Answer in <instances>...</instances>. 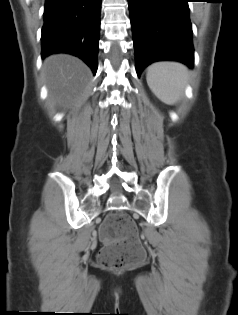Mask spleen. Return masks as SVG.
I'll use <instances>...</instances> for the list:
<instances>
[{
    "instance_id": "1",
    "label": "spleen",
    "mask_w": 238,
    "mask_h": 315,
    "mask_svg": "<svg viewBox=\"0 0 238 315\" xmlns=\"http://www.w3.org/2000/svg\"><path fill=\"white\" fill-rule=\"evenodd\" d=\"M146 80L159 99L167 104H175L184 97L189 71L178 62H156L147 68Z\"/></svg>"
}]
</instances>
